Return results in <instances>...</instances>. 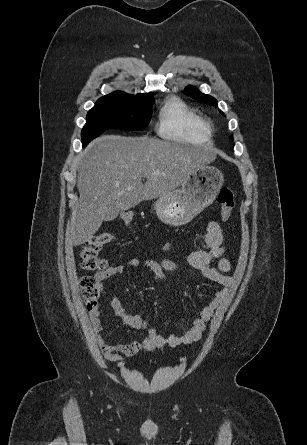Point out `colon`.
Listing matches in <instances>:
<instances>
[{"label": "colon", "mask_w": 307, "mask_h": 445, "mask_svg": "<svg viewBox=\"0 0 307 445\" xmlns=\"http://www.w3.org/2000/svg\"><path fill=\"white\" fill-rule=\"evenodd\" d=\"M217 200L221 207V219L226 221L230 217L234 207L232 191L227 187H223L219 191ZM132 218L133 216L130 212H126L121 216L122 221L125 223H130ZM112 239L113 234L108 232L97 234L88 239L80 252L82 268L88 271H102L106 269V260L101 258L98 254ZM81 290L87 308L89 310L96 308L100 296V289L94 277L84 276L81 279Z\"/></svg>", "instance_id": "colon-1"}]
</instances>
